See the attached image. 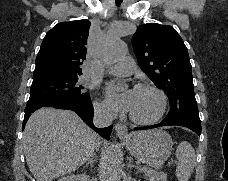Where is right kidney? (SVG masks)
<instances>
[{"label":"right kidney","mask_w":228,"mask_h":181,"mask_svg":"<svg viewBox=\"0 0 228 181\" xmlns=\"http://www.w3.org/2000/svg\"><path fill=\"white\" fill-rule=\"evenodd\" d=\"M58 181H89L87 175H67V177H61Z\"/></svg>","instance_id":"1"}]
</instances>
